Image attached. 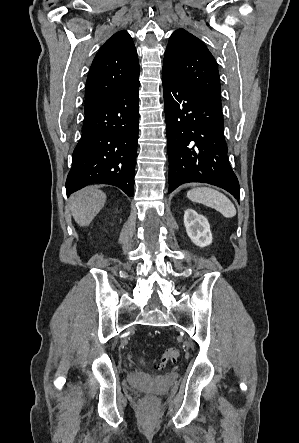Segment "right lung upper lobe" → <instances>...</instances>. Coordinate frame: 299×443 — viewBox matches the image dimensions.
<instances>
[{"label":"right lung upper lobe","instance_id":"cb5924a9","mask_svg":"<svg viewBox=\"0 0 299 443\" xmlns=\"http://www.w3.org/2000/svg\"><path fill=\"white\" fill-rule=\"evenodd\" d=\"M139 78V62L131 36L112 35L94 58L86 81L85 111L123 91Z\"/></svg>","mask_w":299,"mask_h":443}]
</instances>
